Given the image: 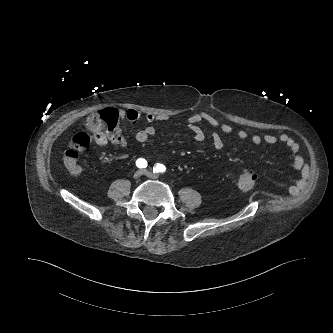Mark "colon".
I'll use <instances>...</instances> for the list:
<instances>
[{
	"label": "colon",
	"mask_w": 333,
	"mask_h": 333,
	"mask_svg": "<svg viewBox=\"0 0 333 333\" xmlns=\"http://www.w3.org/2000/svg\"><path fill=\"white\" fill-rule=\"evenodd\" d=\"M118 119V110L114 108H105L87 117L85 129L72 137L63 154L62 161L68 172L77 174L81 171L79 156L82 150L96 138L114 134L118 127ZM256 179L254 171L244 170L238 177V187L243 191H249L254 187Z\"/></svg>",
	"instance_id": "colon-1"
}]
</instances>
